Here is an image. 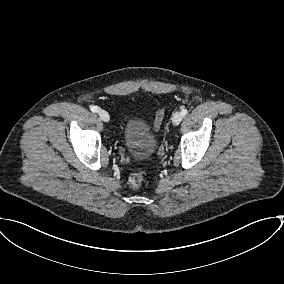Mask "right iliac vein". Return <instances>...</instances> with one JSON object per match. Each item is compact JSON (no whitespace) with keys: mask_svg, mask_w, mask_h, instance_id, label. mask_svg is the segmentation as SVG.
Wrapping results in <instances>:
<instances>
[{"mask_svg":"<svg viewBox=\"0 0 284 284\" xmlns=\"http://www.w3.org/2000/svg\"><path fill=\"white\" fill-rule=\"evenodd\" d=\"M98 115H99V117L102 121L109 122L110 116H109L108 112H106L105 110H103V109L98 110Z\"/></svg>","mask_w":284,"mask_h":284,"instance_id":"63e3f726","label":"right iliac vein"}]
</instances>
